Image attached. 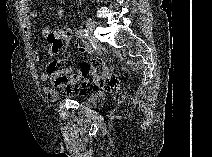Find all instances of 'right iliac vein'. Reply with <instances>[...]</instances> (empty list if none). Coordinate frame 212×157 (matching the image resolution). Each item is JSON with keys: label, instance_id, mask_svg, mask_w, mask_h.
<instances>
[{"label": "right iliac vein", "instance_id": "63e3f726", "mask_svg": "<svg viewBox=\"0 0 212 157\" xmlns=\"http://www.w3.org/2000/svg\"><path fill=\"white\" fill-rule=\"evenodd\" d=\"M85 26H86L89 34H92L94 29H95V27H96V24H95V22L92 19H87L85 21Z\"/></svg>", "mask_w": 212, "mask_h": 157}]
</instances>
